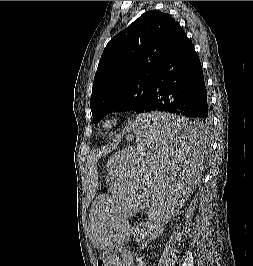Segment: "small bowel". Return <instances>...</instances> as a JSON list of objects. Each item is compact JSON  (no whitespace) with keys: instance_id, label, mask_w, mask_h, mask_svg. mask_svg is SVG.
I'll return each instance as SVG.
<instances>
[{"instance_id":"obj_1","label":"small bowel","mask_w":253,"mask_h":266,"mask_svg":"<svg viewBox=\"0 0 253 266\" xmlns=\"http://www.w3.org/2000/svg\"><path fill=\"white\" fill-rule=\"evenodd\" d=\"M118 260V266H135V261L137 262V266H148L140 253L130 249L121 250V255Z\"/></svg>"}]
</instances>
